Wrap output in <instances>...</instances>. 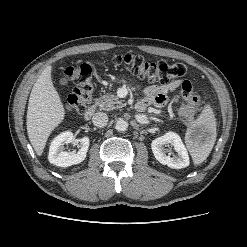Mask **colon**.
Masks as SVG:
<instances>
[{
    "label": "colon",
    "instance_id": "5ec220e1",
    "mask_svg": "<svg viewBox=\"0 0 247 247\" xmlns=\"http://www.w3.org/2000/svg\"><path fill=\"white\" fill-rule=\"evenodd\" d=\"M113 63L141 79L150 81L172 82L187 72L186 66L179 62H149L142 56L132 54L116 56ZM63 74L76 85L67 97L66 108L70 112L82 113L90 103L94 91L91 66L78 63L67 67ZM180 92L190 107L200 106L201 99L194 92L193 84L189 80L182 81Z\"/></svg>",
    "mask_w": 247,
    "mask_h": 247
}]
</instances>
